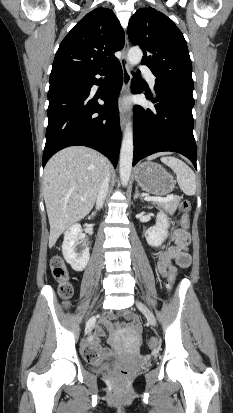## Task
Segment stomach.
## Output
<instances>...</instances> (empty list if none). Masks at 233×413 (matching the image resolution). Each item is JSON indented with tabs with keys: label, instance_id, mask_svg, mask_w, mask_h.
Wrapping results in <instances>:
<instances>
[{
	"label": "stomach",
	"instance_id": "stomach-1",
	"mask_svg": "<svg viewBox=\"0 0 233 413\" xmlns=\"http://www.w3.org/2000/svg\"><path fill=\"white\" fill-rule=\"evenodd\" d=\"M135 179L139 186L153 195H166L175 186L173 177L158 163L146 161L135 169Z\"/></svg>",
	"mask_w": 233,
	"mask_h": 413
}]
</instances>
